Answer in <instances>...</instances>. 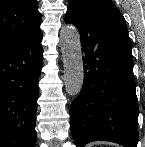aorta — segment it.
Segmentation results:
<instances>
[{
  "label": "aorta",
  "mask_w": 145,
  "mask_h": 147,
  "mask_svg": "<svg viewBox=\"0 0 145 147\" xmlns=\"http://www.w3.org/2000/svg\"><path fill=\"white\" fill-rule=\"evenodd\" d=\"M60 47L64 66V83L71 96H77L83 85L84 66L78 30L65 25L60 31Z\"/></svg>",
  "instance_id": "762f6f07"
}]
</instances>
